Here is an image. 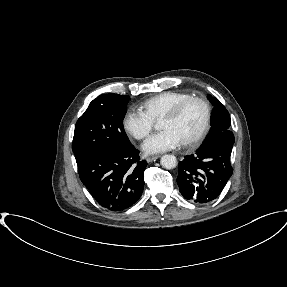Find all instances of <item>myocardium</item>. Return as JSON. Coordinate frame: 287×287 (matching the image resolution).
Masks as SVG:
<instances>
[{"label":"myocardium","instance_id":"obj_1","mask_svg":"<svg viewBox=\"0 0 287 287\" xmlns=\"http://www.w3.org/2000/svg\"><path fill=\"white\" fill-rule=\"evenodd\" d=\"M191 102H196L201 105L203 110V118L198 131L191 138L183 142V145L186 147H192L199 144L209 130L211 121V107L208 101L200 96H188L176 103L162 116V118H175L180 114L183 108Z\"/></svg>","mask_w":287,"mask_h":287}]
</instances>
